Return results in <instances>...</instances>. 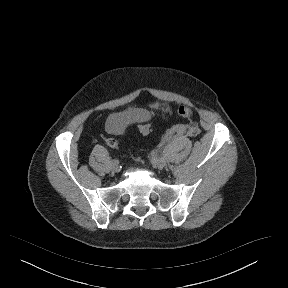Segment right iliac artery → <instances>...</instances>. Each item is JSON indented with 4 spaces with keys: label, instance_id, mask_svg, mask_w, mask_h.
Segmentation results:
<instances>
[{
    "label": "right iliac artery",
    "instance_id": "obj_1",
    "mask_svg": "<svg viewBox=\"0 0 288 288\" xmlns=\"http://www.w3.org/2000/svg\"><path fill=\"white\" fill-rule=\"evenodd\" d=\"M112 162L118 163V160L117 159H113Z\"/></svg>",
    "mask_w": 288,
    "mask_h": 288
}]
</instances>
